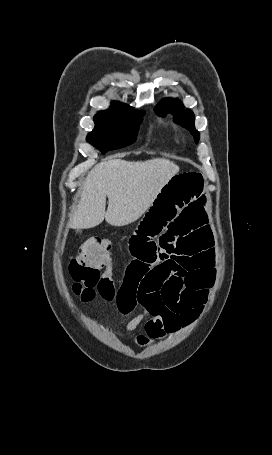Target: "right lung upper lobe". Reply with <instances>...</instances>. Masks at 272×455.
Listing matches in <instances>:
<instances>
[{
    "mask_svg": "<svg viewBox=\"0 0 272 455\" xmlns=\"http://www.w3.org/2000/svg\"><path fill=\"white\" fill-rule=\"evenodd\" d=\"M129 107L128 105L119 103V102H113L111 107L108 110L105 111H100L98 113H112V112H118L121 111L125 108Z\"/></svg>",
    "mask_w": 272,
    "mask_h": 455,
    "instance_id": "cb5924a9",
    "label": "right lung upper lobe"
}]
</instances>
